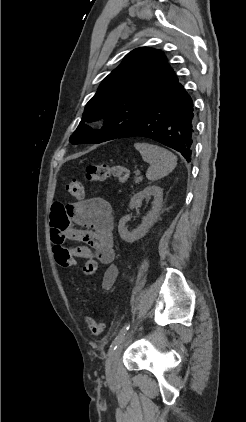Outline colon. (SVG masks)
I'll return each mask as SVG.
<instances>
[{"label": "colon", "instance_id": "5ec220e1", "mask_svg": "<svg viewBox=\"0 0 246 422\" xmlns=\"http://www.w3.org/2000/svg\"><path fill=\"white\" fill-rule=\"evenodd\" d=\"M110 176H114L120 182H126L129 178V171L121 165L110 166L108 164H90L85 169V177L90 182H103ZM67 192L76 199H83L85 189L83 183L78 179L70 180L66 185ZM54 257L56 262L62 267H70L75 264V258L71 253L63 248L55 250ZM97 271V262L87 260L83 265V273L87 276L94 275ZM89 331L98 335L103 332L105 322L102 319L84 318Z\"/></svg>", "mask_w": 246, "mask_h": 422}]
</instances>
